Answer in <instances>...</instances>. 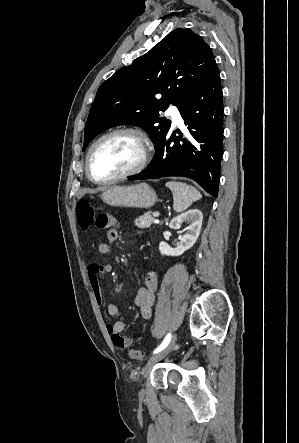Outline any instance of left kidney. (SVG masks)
I'll return each instance as SVG.
<instances>
[{
    "instance_id": "5707ae66",
    "label": "left kidney",
    "mask_w": 299,
    "mask_h": 443,
    "mask_svg": "<svg viewBox=\"0 0 299 443\" xmlns=\"http://www.w3.org/2000/svg\"><path fill=\"white\" fill-rule=\"evenodd\" d=\"M203 214L198 209L188 210L173 218L169 224L172 229H178L183 223L188 224L187 232L180 236V243L176 248H171L166 242L159 244L162 255L180 256L189 250L197 241L202 227Z\"/></svg>"
}]
</instances>
